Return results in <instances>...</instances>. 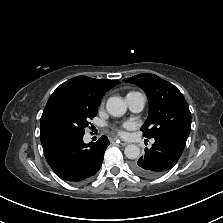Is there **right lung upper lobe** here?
<instances>
[{"label":"right lung upper lobe","instance_id":"1","mask_svg":"<svg viewBox=\"0 0 223 223\" xmlns=\"http://www.w3.org/2000/svg\"><path fill=\"white\" fill-rule=\"evenodd\" d=\"M119 83L118 80H98L87 76H77L58 86L50 96L41 117V141L49 137L44 131L43 118L54 103L63 99H78L100 105L105 93Z\"/></svg>","mask_w":223,"mask_h":223}]
</instances>
